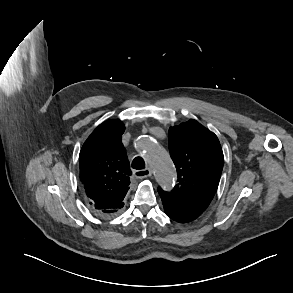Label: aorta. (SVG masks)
I'll list each match as a JSON object with an SVG mask.
<instances>
[{
    "label": "aorta",
    "mask_w": 293,
    "mask_h": 293,
    "mask_svg": "<svg viewBox=\"0 0 293 293\" xmlns=\"http://www.w3.org/2000/svg\"><path fill=\"white\" fill-rule=\"evenodd\" d=\"M140 150L154 169L158 184L170 190L175 182L176 171L168 153L153 139H142Z\"/></svg>",
    "instance_id": "762f6f07"
}]
</instances>
